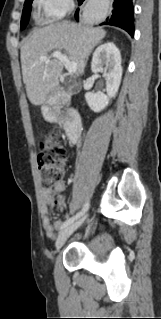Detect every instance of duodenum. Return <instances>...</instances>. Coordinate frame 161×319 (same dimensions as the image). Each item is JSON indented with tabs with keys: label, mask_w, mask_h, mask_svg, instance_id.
Here are the masks:
<instances>
[{
	"label": "duodenum",
	"mask_w": 161,
	"mask_h": 319,
	"mask_svg": "<svg viewBox=\"0 0 161 319\" xmlns=\"http://www.w3.org/2000/svg\"><path fill=\"white\" fill-rule=\"evenodd\" d=\"M66 102L67 96L57 89L51 101L44 105V115L50 121L63 123L69 143L76 144L82 134V121L79 112L76 109L67 108L61 116L56 113V108L63 107Z\"/></svg>",
	"instance_id": "1"
}]
</instances>
